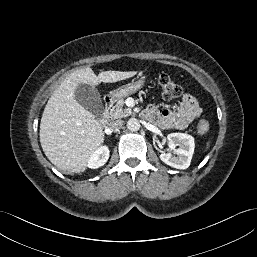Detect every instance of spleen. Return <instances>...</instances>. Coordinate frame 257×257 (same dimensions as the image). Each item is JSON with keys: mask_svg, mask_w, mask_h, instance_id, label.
Instances as JSON below:
<instances>
[{"mask_svg": "<svg viewBox=\"0 0 257 257\" xmlns=\"http://www.w3.org/2000/svg\"><path fill=\"white\" fill-rule=\"evenodd\" d=\"M209 144H210V142L208 141V142H207V148L209 147Z\"/></svg>", "mask_w": 257, "mask_h": 257, "instance_id": "3e777b00", "label": "spleen"}]
</instances>
